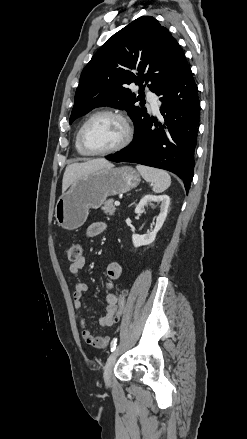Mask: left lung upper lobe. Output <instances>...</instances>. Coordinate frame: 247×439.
I'll return each mask as SVG.
<instances>
[{"label": "left lung upper lobe", "instance_id": "left-lung-upper-lobe-1", "mask_svg": "<svg viewBox=\"0 0 247 439\" xmlns=\"http://www.w3.org/2000/svg\"><path fill=\"white\" fill-rule=\"evenodd\" d=\"M186 62L167 28L151 16L137 18L111 36L83 69L70 124L96 107L111 106L126 109L136 131L149 118L143 105H135L144 84L156 94ZM132 83L140 87L138 96L128 88Z\"/></svg>", "mask_w": 247, "mask_h": 439}]
</instances>
